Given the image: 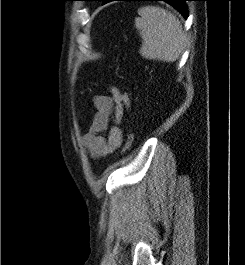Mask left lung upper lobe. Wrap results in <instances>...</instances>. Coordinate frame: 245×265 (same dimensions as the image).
I'll use <instances>...</instances> for the list:
<instances>
[{"label":"left lung upper lobe","mask_w":245,"mask_h":265,"mask_svg":"<svg viewBox=\"0 0 245 265\" xmlns=\"http://www.w3.org/2000/svg\"><path fill=\"white\" fill-rule=\"evenodd\" d=\"M88 1H105V0H88Z\"/></svg>","instance_id":"5c2ea615"}]
</instances>
